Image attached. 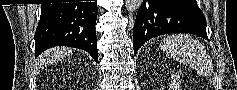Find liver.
<instances>
[{
  "mask_svg": "<svg viewBox=\"0 0 237 90\" xmlns=\"http://www.w3.org/2000/svg\"><path fill=\"white\" fill-rule=\"evenodd\" d=\"M71 50H68V48H56V50H48V52H45L44 56H42L41 60H46V62H55V60H59V58H65L67 54H69Z\"/></svg>",
  "mask_w": 237,
  "mask_h": 90,
  "instance_id": "1",
  "label": "liver"
}]
</instances>
